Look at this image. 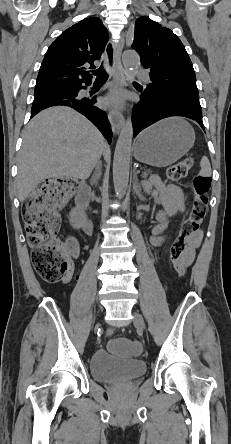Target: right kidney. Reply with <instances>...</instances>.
<instances>
[{"mask_svg":"<svg viewBox=\"0 0 231 444\" xmlns=\"http://www.w3.org/2000/svg\"><path fill=\"white\" fill-rule=\"evenodd\" d=\"M85 219V215L77 208L71 210L69 214V220L73 228L79 229Z\"/></svg>","mask_w":231,"mask_h":444,"instance_id":"obj_1","label":"right kidney"}]
</instances>
